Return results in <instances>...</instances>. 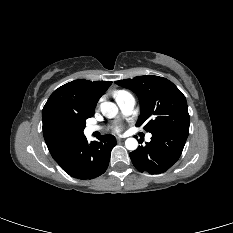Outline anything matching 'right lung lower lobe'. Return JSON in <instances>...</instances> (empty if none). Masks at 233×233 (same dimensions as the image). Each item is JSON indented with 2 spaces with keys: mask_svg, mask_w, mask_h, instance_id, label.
Wrapping results in <instances>:
<instances>
[{
  "mask_svg": "<svg viewBox=\"0 0 233 233\" xmlns=\"http://www.w3.org/2000/svg\"><path fill=\"white\" fill-rule=\"evenodd\" d=\"M116 145L113 135H102L99 141L87 142L85 136L52 156L61 168L74 178L91 179L103 174Z\"/></svg>",
  "mask_w": 233,
  "mask_h": 233,
  "instance_id": "1",
  "label": "right lung lower lobe"
}]
</instances>
